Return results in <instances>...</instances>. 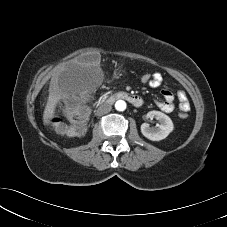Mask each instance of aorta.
Returning <instances> with one entry per match:
<instances>
[{
  "label": "aorta",
  "mask_w": 227,
  "mask_h": 227,
  "mask_svg": "<svg viewBox=\"0 0 227 227\" xmlns=\"http://www.w3.org/2000/svg\"><path fill=\"white\" fill-rule=\"evenodd\" d=\"M126 102L124 100H118L115 103V109L117 111H124L126 109Z\"/></svg>",
  "instance_id": "762f6f07"
}]
</instances>
